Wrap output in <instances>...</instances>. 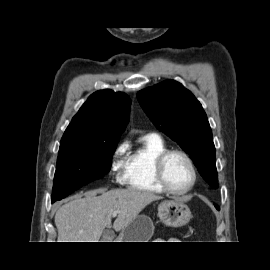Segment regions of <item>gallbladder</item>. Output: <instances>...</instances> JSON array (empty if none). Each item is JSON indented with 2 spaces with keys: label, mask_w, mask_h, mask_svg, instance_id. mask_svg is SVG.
<instances>
[{
  "label": "gallbladder",
  "mask_w": 270,
  "mask_h": 270,
  "mask_svg": "<svg viewBox=\"0 0 270 270\" xmlns=\"http://www.w3.org/2000/svg\"><path fill=\"white\" fill-rule=\"evenodd\" d=\"M113 238H114V234L111 230L106 229L103 232V235H102L103 242H111L113 240Z\"/></svg>",
  "instance_id": "gallbladder-1"
}]
</instances>
